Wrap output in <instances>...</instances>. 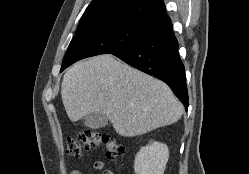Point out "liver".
<instances>
[{
    "instance_id": "obj_1",
    "label": "liver",
    "mask_w": 249,
    "mask_h": 174,
    "mask_svg": "<svg viewBox=\"0 0 249 174\" xmlns=\"http://www.w3.org/2000/svg\"><path fill=\"white\" fill-rule=\"evenodd\" d=\"M61 97L71 121L102 113L124 137L171 125L183 114L182 104L164 82L109 54L70 67L63 77Z\"/></svg>"
}]
</instances>
